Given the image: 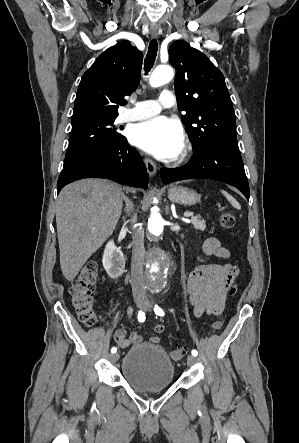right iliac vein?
I'll return each mask as SVG.
<instances>
[{
    "label": "right iliac vein",
    "instance_id": "obj_1",
    "mask_svg": "<svg viewBox=\"0 0 299 443\" xmlns=\"http://www.w3.org/2000/svg\"><path fill=\"white\" fill-rule=\"evenodd\" d=\"M118 358H119V354L118 353H115V354L110 356V359H111L112 362H116L118 360Z\"/></svg>",
    "mask_w": 299,
    "mask_h": 443
}]
</instances>
